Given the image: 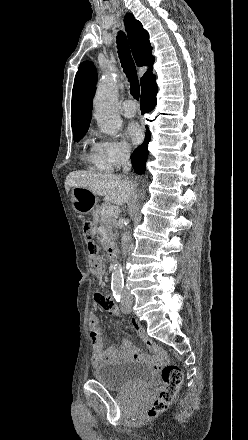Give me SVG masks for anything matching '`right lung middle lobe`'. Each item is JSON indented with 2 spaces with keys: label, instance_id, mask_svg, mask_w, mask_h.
<instances>
[{
  "label": "right lung middle lobe",
  "instance_id": "obj_1",
  "mask_svg": "<svg viewBox=\"0 0 248 440\" xmlns=\"http://www.w3.org/2000/svg\"><path fill=\"white\" fill-rule=\"evenodd\" d=\"M87 130L73 133V139L75 142H79L86 134Z\"/></svg>",
  "mask_w": 248,
  "mask_h": 440
}]
</instances>
